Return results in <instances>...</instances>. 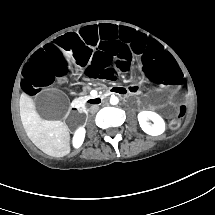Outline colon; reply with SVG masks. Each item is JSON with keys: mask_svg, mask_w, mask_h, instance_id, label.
I'll use <instances>...</instances> for the list:
<instances>
[{"mask_svg": "<svg viewBox=\"0 0 215 215\" xmlns=\"http://www.w3.org/2000/svg\"><path fill=\"white\" fill-rule=\"evenodd\" d=\"M187 112L185 105H180L177 109L175 116L171 119L170 126L174 129L180 127L183 117Z\"/></svg>", "mask_w": 215, "mask_h": 215, "instance_id": "obj_1", "label": "colon"}]
</instances>
